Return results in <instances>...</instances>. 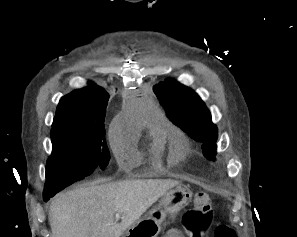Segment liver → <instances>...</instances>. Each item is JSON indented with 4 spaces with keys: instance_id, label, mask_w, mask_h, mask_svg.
I'll return each mask as SVG.
<instances>
[{
    "instance_id": "liver-1",
    "label": "liver",
    "mask_w": 297,
    "mask_h": 237,
    "mask_svg": "<svg viewBox=\"0 0 297 237\" xmlns=\"http://www.w3.org/2000/svg\"><path fill=\"white\" fill-rule=\"evenodd\" d=\"M171 179L81 185L61 193L50 208L52 237H120L169 189ZM121 214V222L114 214Z\"/></svg>"
}]
</instances>
